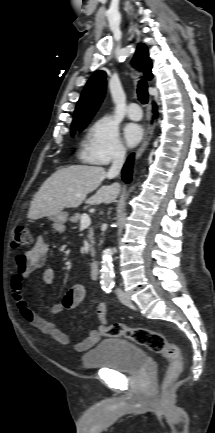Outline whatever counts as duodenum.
Listing matches in <instances>:
<instances>
[{"mask_svg": "<svg viewBox=\"0 0 215 433\" xmlns=\"http://www.w3.org/2000/svg\"><path fill=\"white\" fill-rule=\"evenodd\" d=\"M89 267H90V274H91V277H92L94 280H98V279H99V276H100V270H99V265H98V263H96V262H91Z\"/></svg>", "mask_w": 215, "mask_h": 433, "instance_id": "duodenum-1", "label": "duodenum"}]
</instances>
